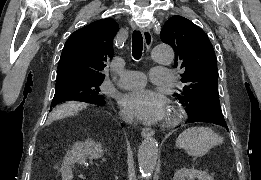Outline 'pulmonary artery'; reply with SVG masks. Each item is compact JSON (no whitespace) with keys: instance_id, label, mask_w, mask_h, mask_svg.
<instances>
[{"instance_id":"e3ab8cb5","label":"pulmonary artery","mask_w":261,"mask_h":180,"mask_svg":"<svg viewBox=\"0 0 261 180\" xmlns=\"http://www.w3.org/2000/svg\"><path fill=\"white\" fill-rule=\"evenodd\" d=\"M172 72H170V67H155L150 72V78L155 81V83H171ZM146 76L138 71L126 70L120 73V80L118 85L122 88H141L142 84L145 82Z\"/></svg>"}]
</instances>
